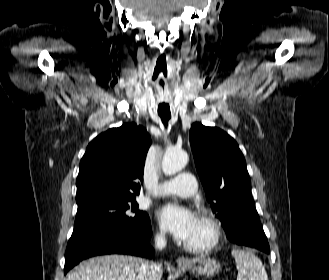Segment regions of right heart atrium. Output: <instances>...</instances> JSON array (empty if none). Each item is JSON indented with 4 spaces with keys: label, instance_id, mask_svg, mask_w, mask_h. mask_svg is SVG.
<instances>
[{
    "label": "right heart atrium",
    "instance_id": "1",
    "mask_svg": "<svg viewBox=\"0 0 329 280\" xmlns=\"http://www.w3.org/2000/svg\"><path fill=\"white\" fill-rule=\"evenodd\" d=\"M157 238L159 240H163L164 237H165V232L162 228H160L158 231H157V234H156Z\"/></svg>",
    "mask_w": 329,
    "mask_h": 280
}]
</instances>
